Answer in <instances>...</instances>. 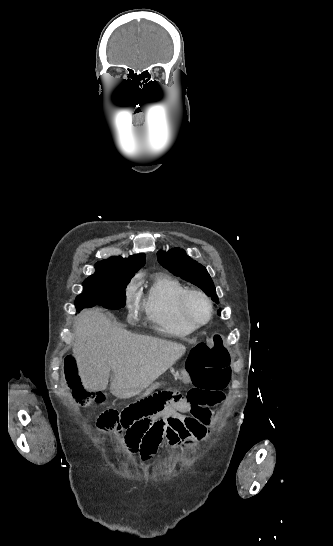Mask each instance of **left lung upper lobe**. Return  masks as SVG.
<instances>
[{"label": "left lung upper lobe", "instance_id": "obj_1", "mask_svg": "<svg viewBox=\"0 0 333 546\" xmlns=\"http://www.w3.org/2000/svg\"><path fill=\"white\" fill-rule=\"evenodd\" d=\"M158 261L168 271L198 286L206 295L218 303L214 283L206 268L186 255L183 249L174 248L168 252L159 250ZM221 309L218 310L220 315Z\"/></svg>", "mask_w": 333, "mask_h": 546}]
</instances>
